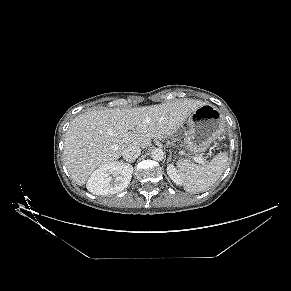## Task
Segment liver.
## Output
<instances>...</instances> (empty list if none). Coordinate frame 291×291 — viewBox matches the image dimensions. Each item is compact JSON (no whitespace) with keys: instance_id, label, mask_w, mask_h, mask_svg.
Segmentation results:
<instances>
[{"instance_id":"1","label":"liver","mask_w":291,"mask_h":291,"mask_svg":"<svg viewBox=\"0 0 291 291\" xmlns=\"http://www.w3.org/2000/svg\"><path fill=\"white\" fill-rule=\"evenodd\" d=\"M200 100L181 99L132 109L92 110L74 118L65 133L63 158L72 180L82 186L92 172L118 160L123 147L147 148L152 139L172 136Z\"/></svg>"}]
</instances>
